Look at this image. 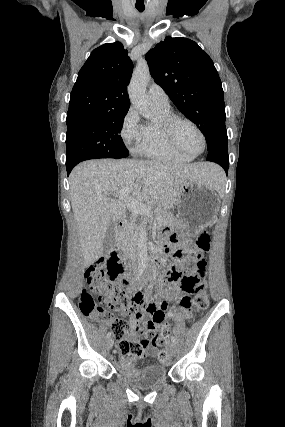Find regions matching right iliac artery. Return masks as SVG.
Returning <instances> with one entry per match:
<instances>
[{"label":"right iliac artery","mask_w":285,"mask_h":427,"mask_svg":"<svg viewBox=\"0 0 285 427\" xmlns=\"http://www.w3.org/2000/svg\"><path fill=\"white\" fill-rule=\"evenodd\" d=\"M110 336H111V333L109 332L106 337L109 338Z\"/></svg>","instance_id":"right-iliac-artery-1"}]
</instances>
